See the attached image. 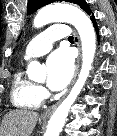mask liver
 Returning <instances> with one entry per match:
<instances>
[{
    "instance_id": "6515ba94",
    "label": "liver",
    "mask_w": 117,
    "mask_h": 136,
    "mask_svg": "<svg viewBox=\"0 0 117 136\" xmlns=\"http://www.w3.org/2000/svg\"><path fill=\"white\" fill-rule=\"evenodd\" d=\"M39 114L27 109L8 112L1 123L0 136H30L38 121Z\"/></svg>"
}]
</instances>
